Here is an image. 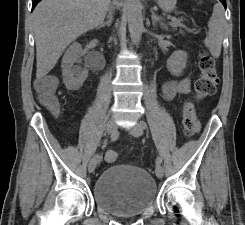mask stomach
I'll use <instances>...</instances> for the list:
<instances>
[{"label": "stomach", "mask_w": 245, "mask_h": 225, "mask_svg": "<svg viewBox=\"0 0 245 225\" xmlns=\"http://www.w3.org/2000/svg\"><path fill=\"white\" fill-rule=\"evenodd\" d=\"M158 6L165 12H171L175 9L177 0H156Z\"/></svg>", "instance_id": "1"}]
</instances>
